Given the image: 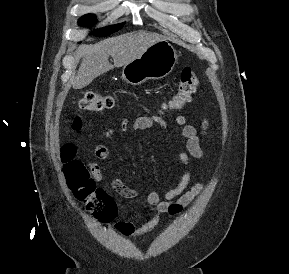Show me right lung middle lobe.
<instances>
[{
  "instance_id": "right-lung-middle-lobe-1",
  "label": "right lung middle lobe",
  "mask_w": 289,
  "mask_h": 274,
  "mask_svg": "<svg viewBox=\"0 0 289 274\" xmlns=\"http://www.w3.org/2000/svg\"><path fill=\"white\" fill-rule=\"evenodd\" d=\"M94 22H95V16L91 14H87L79 20V25L91 26ZM123 25L124 23L106 27V28L100 29L97 32H94L93 34L99 37H105V36L110 35L111 33L118 31L119 29L123 27Z\"/></svg>"
}]
</instances>
